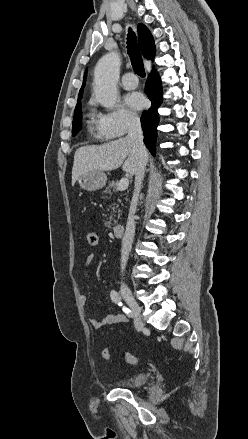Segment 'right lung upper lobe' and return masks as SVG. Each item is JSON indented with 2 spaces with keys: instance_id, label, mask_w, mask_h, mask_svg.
Wrapping results in <instances>:
<instances>
[{
  "instance_id": "obj_1",
  "label": "right lung upper lobe",
  "mask_w": 248,
  "mask_h": 439,
  "mask_svg": "<svg viewBox=\"0 0 248 439\" xmlns=\"http://www.w3.org/2000/svg\"><path fill=\"white\" fill-rule=\"evenodd\" d=\"M138 40L143 56L147 59L152 60L155 55L154 39L148 28L143 24L138 25ZM86 74L87 72H85L83 84L79 91L78 102L76 104L75 111L81 108L80 100L82 99L83 89L86 82Z\"/></svg>"
}]
</instances>
